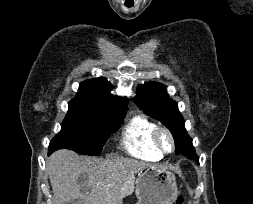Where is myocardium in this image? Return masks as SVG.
Returning a JSON list of instances; mask_svg holds the SVG:
<instances>
[{"label":"myocardium","mask_w":253,"mask_h":204,"mask_svg":"<svg viewBox=\"0 0 253 204\" xmlns=\"http://www.w3.org/2000/svg\"><path fill=\"white\" fill-rule=\"evenodd\" d=\"M163 135H166L169 138L170 145H171L169 150H165L162 145L161 139ZM153 142L157 150L162 155H169L175 151V148H176L175 138L172 132L167 127L159 126L155 128L154 133H153Z\"/></svg>","instance_id":"myocardium-1"}]
</instances>
